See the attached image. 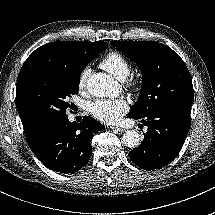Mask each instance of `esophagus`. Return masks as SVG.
<instances>
[{
	"label": "esophagus",
	"instance_id": "34e87169",
	"mask_svg": "<svg viewBox=\"0 0 215 215\" xmlns=\"http://www.w3.org/2000/svg\"><path fill=\"white\" fill-rule=\"evenodd\" d=\"M111 129H113V130H115V131H117V132H119V133H122V132L125 131V129H124V128H121V127H111Z\"/></svg>",
	"mask_w": 215,
	"mask_h": 215
}]
</instances>
